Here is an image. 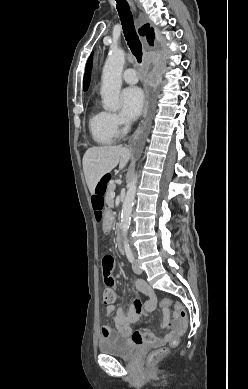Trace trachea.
I'll return each mask as SVG.
<instances>
[{"instance_id": "3493384b", "label": "trachea", "mask_w": 248, "mask_h": 389, "mask_svg": "<svg viewBox=\"0 0 248 389\" xmlns=\"http://www.w3.org/2000/svg\"><path fill=\"white\" fill-rule=\"evenodd\" d=\"M117 11L128 46L138 63L142 62V46L135 31L132 13L126 0H116Z\"/></svg>"}]
</instances>
